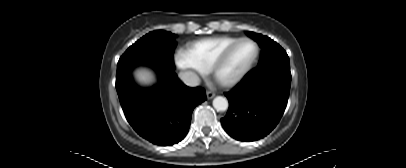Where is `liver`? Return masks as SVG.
I'll use <instances>...</instances> for the list:
<instances>
[{
	"mask_svg": "<svg viewBox=\"0 0 406 168\" xmlns=\"http://www.w3.org/2000/svg\"><path fill=\"white\" fill-rule=\"evenodd\" d=\"M134 77L141 85H149L154 81L152 71L145 67L137 68L134 71Z\"/></svg>",
	"mask_w": 406,
	"mask_h": 168,
	"instance_id": "6515ba94",
	"label": "liver"
}]
</instances>
